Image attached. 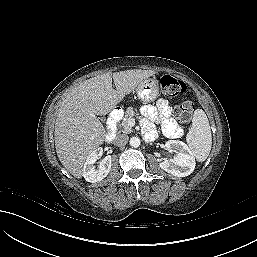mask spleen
I'll list each match as a JSON object with an SVG mask.
<instances>
[{"label":"spleen","instance_id":"1","mask_svg":"<svg viewBox=\"0 0 257 257\" xmlns=\"http://www.w3.org/2000/svg\"><path fill=\"white\" fill-rule=\"evenodd\" d=\"M186 142L197 161L203 162L207 159L211 151L212 136L208 118L202 109L194 111Z\"/></svg>","mask_w":257,"mask_h":257}]
</instances>
